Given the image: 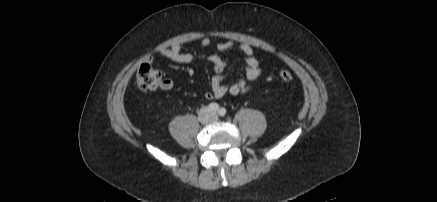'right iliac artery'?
I'll return each instance as SVG.
<instances>
[{
  "label": "right iliac artery",
  "instance_id": "right-iliac-artery-1",
  "mask_svg": "<svg viewBox=\"0 0 437 202\" xmlns=\"http://www.w3.org/2000/svg\"><path fill=\"white\" fill-rule=\"evenodd\" d=\"M209 108L211 111L216 112L219 109V105L217 103L212 102L209 104Z\"/></svg>",
  "mask_w": 437,
  "mask_h": 202
}]
</instances>
